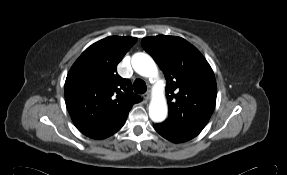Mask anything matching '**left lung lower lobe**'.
Returning a JSON list of instances; mask_svg holds the SVG:
<instances>
[{
	"label": "left lung lower lobe",
	"instance_id": "0a47b994",
	"mask_svg": "<svg viewBox=\"0 0 287 175\" xmlns=\"http://www.w3.org/2000/svg\"><path fill=\"white\" fill-rule=\"evenodd\" d=\"M154 129L164 138L167 140L174 142V143H182L190 140L183 134L176 132L175 130L167 127L163 123L154 125Z\"/></svg>",
	"mask_w": 287,
	"mask_h": 175
}]
</instances>
